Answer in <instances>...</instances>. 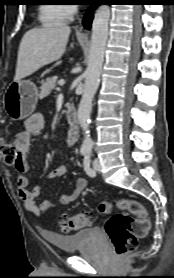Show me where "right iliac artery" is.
Listing matches in <instances>:
<instances>
[{
    "label": "right iliac artery",
    "instance_id": "obj_1",
    "mask_svg": "<svg viewBox=\"0 0 174 278\" xmlns=\"http://www.w3.org/2000/svg\"><path fill=\"white\" fill-rule=\"evenodd\" d=\"M88 153V150L87 149H81V154L82 155H85V154H87Z\"/></svg>",
    "mask_w": 174,
    "mask_h": 278
}]
</instances>
